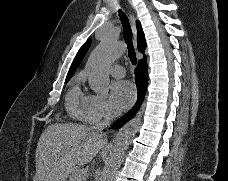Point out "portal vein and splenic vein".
Returning a JSON list of instances; mask_svg holds the SVG:
<instances>
[{"label": "portal vein and splenic vein", "mask_w": 228, "mask_h": 181, "mask_svg": "<svg viewBox=\"0 0 228 181\" xmlns=\"http://www.w3.org/2000/svg\"><path fill=\"white\" fill-rule=\"evenodd\" d=\"M82 173H84V175H81L80 179H84V177L88 175V169H82Z\"/></svg>", "instance_id": "18ae733b"}]
</instances>
